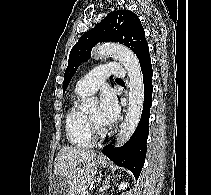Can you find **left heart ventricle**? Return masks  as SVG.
<instances>
[{"mask_svg":"<svg viewBox=\"0 0 211 195\" xmlns=\"http://www.w3.org/2000/svg\"><path fill=\"white\" fill-rule=\"evenodd\" d=\"M88 116L100 127V128H104V126L101 125V123L99 122V110L96 109L94 111H92L91 113L88 114Z\"/></svg>","mask_w":211,"mask_h":195,"instance_id":"obj_1","label":"left heart ventricle"}]
</instances>
